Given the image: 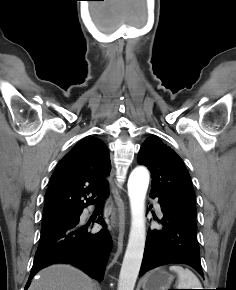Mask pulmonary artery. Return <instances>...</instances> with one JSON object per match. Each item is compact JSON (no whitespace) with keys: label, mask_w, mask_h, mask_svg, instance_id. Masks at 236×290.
<instances>
[{"label":"pulmonary artery","mask_w":236,"mask_h":290,"mask_svg":"<svg viewBox=\"0 0 236 290\" xmlns=\"http://www.w3.org/2000/svg\"><path fill=\"white\" fill-rule=\"evenodd\" d=\"M156 210H157V212H158L159 214H162L161 207H160V205H159L158 203L156 204Z\"/></svg>","instance_id":"pulmonary-artery-1"}]
</instances>
